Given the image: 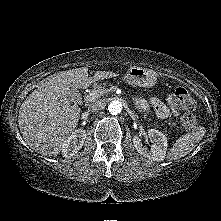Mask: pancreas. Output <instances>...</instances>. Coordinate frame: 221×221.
Returning <instances> with one entry per match:
<instances>
[{
	"mask_svg": "<svg viewBox=\"0 0 221 221\" xmlns=\"http://www.w3.org/2000/svg\"><path fill=\"white\" fill-rule=\"evenodd\" d=\"M109 86V85H108ZM107 85H105V86H101V85H97V86H95V88H94V91H99V90H107L108 87ZM116 88V86H111L110 87V89H115Z\"/></svg>",
	"mask_w": 221,
	"mask_h": 221,
	"instance_id": "1",
	"label": "pancreas"
}]
</instances>
